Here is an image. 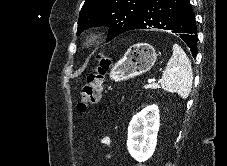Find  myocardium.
<instances>
[{"label":"myocardium","mask_w":227,"mask_h":166,"mask_svg":"<svg viewBox=\"0 0 227 166\" xmlns=\"http://www.w3.org/2000/svg\"><path fill=\"white\" fill-rule=\"evenodd\" d=\"M95 39V37H90L87 42H92Z\"/></svg>","instance_id":"obj_1"}]
</instances>
